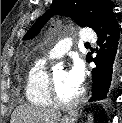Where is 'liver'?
Instances as JSON below:
<instances>
[{
  "label": "liver",
  "mask_w": 122,
  "mask_h": 123,
  "mask_svg": "<svg viewBox=\"0 0 122 123\" xmlns=\"http://www.w3.org/2000/svg\"><path fill=\"white\" fill-rule=\"evenodd\" d=\"M60 117L57 109L22 105L13 112L11 123H57Z\"/></svg>",
  "instance_id": "6515ba94"
}]
</instances>
